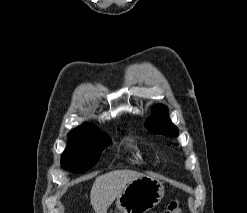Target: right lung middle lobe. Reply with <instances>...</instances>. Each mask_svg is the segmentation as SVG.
<instances>
[{"instance_id": "obj_1", "label": "right lung middle lobe", "mask_w": 247, "mask_h": 213, "mask_svg": "<svg viewBox=\"0 0 247 213\" xmlns=\"http://www.w3.org/2000/svg\"><path fill=\"white\" fill-rule=\"evenodd\" d=\"M110 143V138L101 132L88 136L70 137L61 157L62 167L75 173H82L99 161L102 151Z\"/></svg>"}]
</instances>
